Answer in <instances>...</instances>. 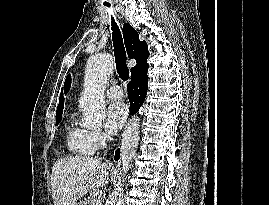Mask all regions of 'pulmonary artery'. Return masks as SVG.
Here are the masks:
<instances>
[{
  "instance_id": "obj_1",
  "label": "pulmonary artery",
  "mask_w": 269,
  "mask_h": 205,
  "mask_svg": "<svg viewBox=\"0 0 269 205\" xmlns=\"http://www.w3.org/2000/svg\"><path fill=\"white\" fill-rule=\"evenodd\" d=\"M106 94L109 98L114 100H119L123 98V91L119 86H111L107 91Z\"/></svg>"
}]
</instances>
